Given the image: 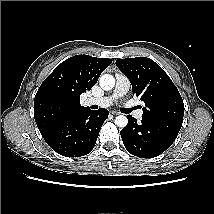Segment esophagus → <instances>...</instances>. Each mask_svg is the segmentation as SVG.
Instances as JSON below:
<instances>
[{
	"label": "esophagus",
	"instance_id": "1",
	"mask_svg": "<svg viewBox=\"0 0 214 214\" xmlns=\"http://www.w3.org/2000/svg\"><path fill=\"white\" fill-rule=\"evenodd\" d=\"M113 115H118L119 114V112H116V111H112L111 112Z\"/></svg>",
	"mask_w": 214,
	"mask_h": 214
}]
</instances>
